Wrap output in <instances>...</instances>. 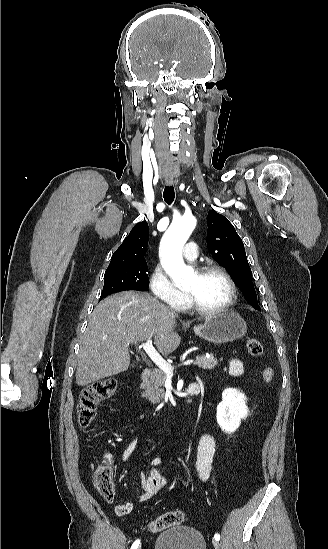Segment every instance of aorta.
<instances>
[{
	"instance_id": "1",
	"label": "aorta",
	"mask_w": 328,
	"mask_h": 549,
	"mask_svg": "<svg viewBox=\"0 0 328 549\" xmlns=\"http://www.w3.org/2000/svg\"><path fill=\"white\" fill-rule=\"evenodd\" d=\"M196 226L193 216H182L172 221L161 242V262L163 268L178 286H185L194 277V270L184 264L182 249Z\"/></svg>"
}]
</instances>
